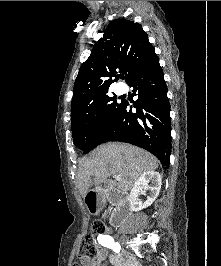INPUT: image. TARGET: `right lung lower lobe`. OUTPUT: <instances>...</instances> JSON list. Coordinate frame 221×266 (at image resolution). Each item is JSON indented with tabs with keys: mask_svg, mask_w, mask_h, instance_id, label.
<instances>
[{
	"mask_svg": "<svg viewBox=\"0 0 221 266\" xmlns=\"http://www.w3.org/2000/svg\"><path fill=\"white\" fill-rule=\"evenodd\" d=\"M129 86L137 92L132 105L124 100L121 111L99 144L108 141L126 142L154 154L164 166L169 167L171 150L170 105L167 86L157 59L150 66L133 75Z\"/></svg>",
	"mask_w": 221,
	"mask_h": 266,
	"instance_id": "obj_1",
	"label": "right lung lower lobe"
}]
</instances>
